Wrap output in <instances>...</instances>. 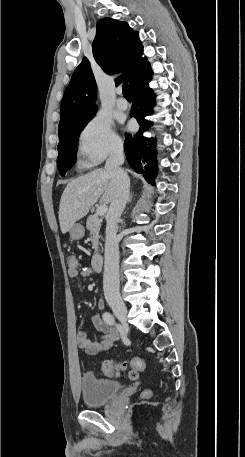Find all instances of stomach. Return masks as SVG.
Returning a JSON list of instances; mask_svg holds the SVG:
<instances>
[{
	"label": "stomach",
	"mask_w": 245,
	"mask_h": 457,
	"mask_svg": "<svg viewBox=\"0 0 245 457\" xmlns=\"http://www.w3.org/2000/svg\"><path fill=\"white\" fill-rule=\"evenodd\" d=\"M69 233L71 239H73V241H77V239H81V237H84V226H82L80 222H75L73 226H70Z\"/></svg>",
	"instance_id": "obj_1"
}]
</instances>
